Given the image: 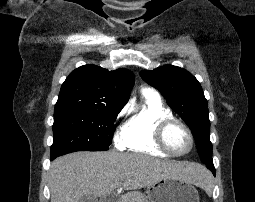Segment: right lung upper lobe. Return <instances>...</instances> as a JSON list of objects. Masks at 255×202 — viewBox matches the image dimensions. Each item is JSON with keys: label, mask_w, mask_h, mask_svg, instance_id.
I'll return each instance as SVG.
<instances>
[{"label": "right lung upper lobe", "mask_w": 255, "mask_h": 202, "mask_svg": "<svg viewBox=\"0 0 255 202\" xmlns=\"http://www.w3.org/2000/svg\"><path fill=\"white\" fill-rule=\"evenodd\" d=\"M134 80L127 69L108 71L93 64L81 66L62 84L54 115L88 109H122Z\"/></svg>", "instance_id": "obj_1"}]
</instances>
